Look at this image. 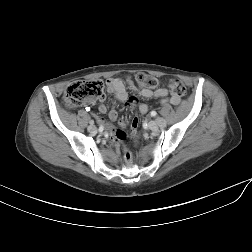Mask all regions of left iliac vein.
I'll return each instance as SVG.
<instances>
[{
  "label": "left iliac vein",
  "instance_id": "obj_1",
  "mask_svg": "<svg viewBox=\"0 0 252 252\" xmlns=\"http://www.w3.org/2000/svg\"><path fill=\"white\" fill-rule=\"evenodd\" d=\"M166 121L163 118H158L157 121H150L148 127L151 130H157L159 125H165Z\"/></svg>",
  "mask_w": 252,
  "mask_h": 252
}]
</instances>
